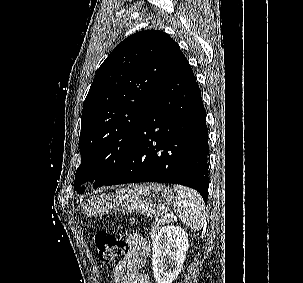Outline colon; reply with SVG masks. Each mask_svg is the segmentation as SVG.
<instances>
[{
	"label": "colon",
	"mask_w": 303,
	"mask_h": 283,
	"mask_svg": "<svg viewBox=\"0 0 303 283\" xmlns=\"http://www.w3.org/2000/svg\"><path fill=\"white\" fill-rule=\"evenodd\" d=\"M94 242L97 247L99 257L105 262H112L119 256L124 248V241L107 230H98L94 234Z\"/></svg>",
	"instance_id": "5ec220e1"
}]
</instances>
